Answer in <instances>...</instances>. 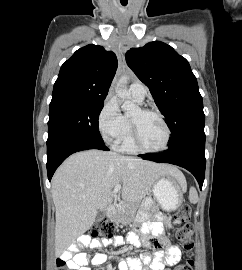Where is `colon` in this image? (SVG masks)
I'll return each instance as SVG.
<instances>
[{
  "instance_id": "obj_1",
  "label": "colon",
  "mask_w": 242,
  "mask_h": 270,
  "mask_svg": "<svg viewBox=\"0 0 242 270\" xmlns=\"http://www.w3.org/2000/svg\"><path fill=\"white\" fill-rule=\"evenodd\" d=\"M191 208L189 205H182L175 210L173 218L177 224L173 230L175 238L185 249L187 255L190 257L193 253V228L192 225L187 223L190 216ZM116 232L115 224L107 218L100 220L94 227H92L85 237L90 239L109 238L111 239ZM193 261L187 260L185 263L174 266L173 270H193ZM57 270H66L63 262H57Z\"/></svg>"
}]
</instances>
